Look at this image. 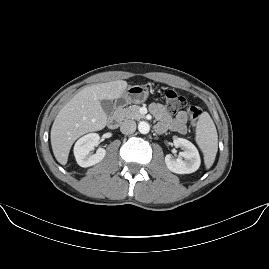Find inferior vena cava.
Listing matches in <instances>:
<instances>
[{"instance_id": "inferior-vena-cava-1", "label": "inferior vena cava", "mask_w": 269, "mask_h": 269, "mask_svg": "<svg viewBox=\"0 0 269 269\" xmlns=\"http://www.w3.org/2000/svg\"><path fill=\"white\" fill-rule=\"evenodd\" d=\"M136 130V123L133 120H125L120 126V131L123 134H131Z\"/></svg>"}]
</instances>
